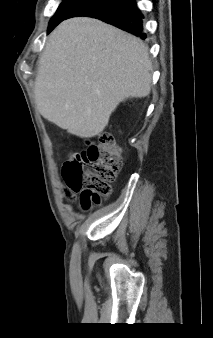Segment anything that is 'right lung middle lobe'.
Here are the masks:
<instances>
[{
	"label": "right lung middle lobe",
	"instance_id": "obj_1",
	"mask_svg": "<svg viewBox=\"0 0 213 338\" xmlns=\"http://www.w3.org/2000/svg\"><path fill=\"white\" fill-rule=\"evenodd\" d=\"M91 1L93 0H63L49 22L48 33L76 9Z\"/></svg>",
	"mask_w": 213,
	"mask_h": 338
}]
</instances>
